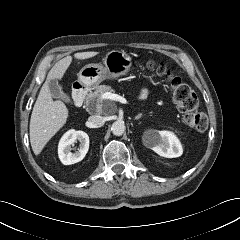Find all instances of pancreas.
<instances>
[{"mask_svg": "<svg viewBox=\"0 0 240 240\" xmlns=\"http://www.w3.org/2000/svg\"><path fill=\"white\" fill-rule=\"evenodd\" d=\"M111 86L108 85H100L97 86L94 92L89 93L87 99H86V105L90 107L91 103L96 104L97 112H102L105 110L106 106L110 103L108 101H105L102 98V95L106 92H113Z\"/></svg>", "mask_w": 240, "mask_h": 240, "instance_id": "1", "label": "pancreas"}]
</instances>
